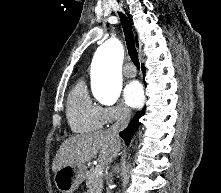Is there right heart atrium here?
Instances as JSON below:
<instances>
[{"label": "right heart atrium", "instance_id": "right-heart-atrium-1", "mask_svg": "<svg viewBox=\"0 0 221 193\" xmlns=\"http://www.w3.org/2000/svg\"><path fill=\"white\" fill-rule=\"evenodd\" d=\"M130 117V110L122 104L103 108V122L106 125L117 121L126 120Z\"/></svg>", "mask_w": 221, "mask_h": 193}]
</instances>
